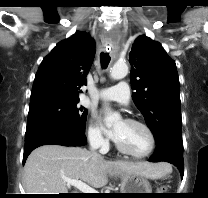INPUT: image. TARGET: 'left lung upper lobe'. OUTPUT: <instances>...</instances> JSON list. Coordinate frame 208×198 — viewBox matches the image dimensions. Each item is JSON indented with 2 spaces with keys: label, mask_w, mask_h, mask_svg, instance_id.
<instances>
[{
  "label": "left lung upper lobe",
  "mask_w": 208,
  "mask_h": 198,
  "mask_svg": "<svg viewBox=\"0 0 208 198\" xmlns=\"http://www.w3.org/2000/svg\"><path fill=\"white\" fill-rule=\"evenodd\" d=\"M132 98L156 144L169 140L183 147L180 88L175 62L162 45L142 35L129 53Z\"/></svg>",
  "instance_id": "obj_1"
}]
</instances>
